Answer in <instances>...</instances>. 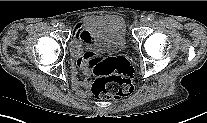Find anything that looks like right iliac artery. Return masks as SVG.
<instances>
[{"mask_svg": "<svg viewBox=\"0 0 207 123\" xmlns=\"http://www.w3.org/2000/svg\"><path fill=\"white\" fill-rule=\"evenodd\" d=\"M51 24H52L54 27H57L59 23H58L57 20H53V21L51 22Z\"/></svg>", "mask_w": 207, "mask_h": 123, "instance_id": "right-iliac-artery-1", "label": "right iliac artery"}]
</instances>
